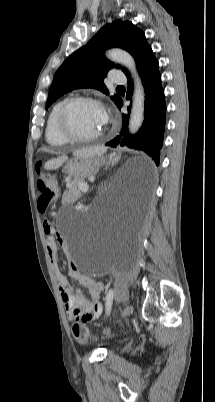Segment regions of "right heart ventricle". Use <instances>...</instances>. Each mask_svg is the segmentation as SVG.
Returning <instances> with one entry per match:
<instances>
[{
    "label": "right heart ventricle",
    "mask_w": 215,
    "mask_h": 402,
    "mask_svg": "<svg viewBox=\"0 0 215 402\" xmlns=\"http://www.w3.org/2000/svg\"><path fill=\"white\" fill-rule=\"evenodd\" d=\"M64 100H60L55 103L49 112L46 128H45V138L48 144L55 147H60L67 145L70 141L64 138L57 129L56 118L57 112Z\"/></svg>",
    "instance_id": "1"
}]
</instances>
